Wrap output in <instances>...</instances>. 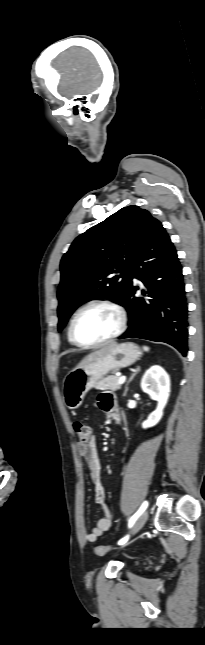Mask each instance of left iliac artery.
Listing matches in <instances>:
<instances>
[{
  "mask_svg": "<svg viewBox=\"0 0 205 645\" xmlns=\"http://www.w3.org/2000/svg\"><path fill=\"white\" fill-rule=\"evenodd\" d=\"M147 506H148V502L144 501L143 504L140 506L139 510L129 519V522H128L129 528H131L134 525L137 518L146 510ZM128 539H129V535H126L125 537H123L118 541V544L123 545L128 541Z\"/></svg>",
  "mask_w": 205,
  "mask_h": 645,
  "instance_id": "obj_1",
  "label": "left iliac artery"
}]
</instances>
